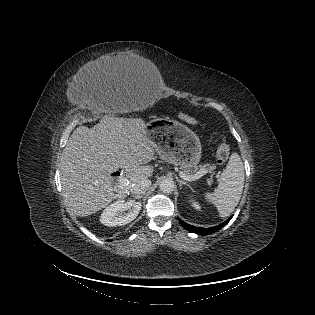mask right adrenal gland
Here are the masks:
<instances>
[{"label":"right adrenal gland","instance_id":"1","mask_svg":"<svg viewBox=\"0 0 315 315\" xmlns=\"http://www.w3.org/2000/svg\"><path fill=\"white\" fill-rule=\"evenodd\" d=\"M135 199H142L143 198V195H135V196H133Z\"/></svg>","mask_w":315,"mask_h":315}]
</instances>
